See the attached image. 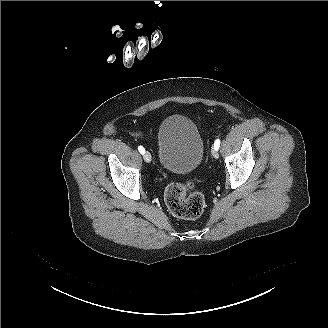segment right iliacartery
Masks as SVG:
<instances>
[{
	"label": "right iliac artery",
	"mask_w": 328,
	"mask_h": 328,
	"mask_svg": "<svg viewBox=\"0 0 328 328\" xmlns=\"http://www.w3.org/2000/svg\"><path fill=\"white\" fill-rule=\"evenodd\" d=\"M138 150L141 154H144L145 153V149L143 148V146H139L138 147Z\"/></svg>",
	"instance_id": "82829eb1"
}]
</instances>
